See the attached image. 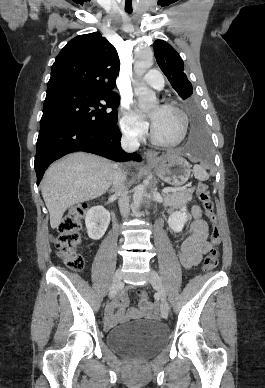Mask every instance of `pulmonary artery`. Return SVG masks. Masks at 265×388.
<instances>
[{"mask_svg":"<svg viewBox=\"0 0 265 388\" xmlns=\"http://www.w3.org/2000/svg\"><path fill=\"white\" fill-rule=\"evenodd\" d=\"M146 86H155L157 90H160L163 86V79L161 75H155L156 71L154 69H148L146 71Z\"/></svg>","mask_w":265,"mask_h":388,"instance_id":"pulmonary-artery-1","label":"pulmonary artery"}]
</instances>
